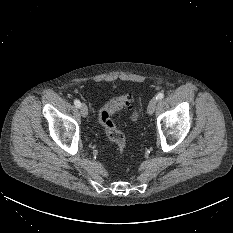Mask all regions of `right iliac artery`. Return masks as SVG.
<instances>
[{
  "mask_svg": "<svg viewBox=\"0 0 233 233\" xmlns=\"http://www.w3.org/2000/svg\"><path fill=\"white\" fill-rule=\"evenodd\" d=\"M74 104H75V106H76L77 108H80V106H81L80 101L77 100V99L74 100Z\"/></svg>",
  "mask_w": 233,
  "mask_h": 233,
  "instance_id": "obj_1",
  "label": "right iliac artery"
}]
</instances>
